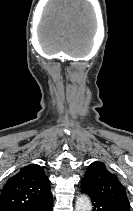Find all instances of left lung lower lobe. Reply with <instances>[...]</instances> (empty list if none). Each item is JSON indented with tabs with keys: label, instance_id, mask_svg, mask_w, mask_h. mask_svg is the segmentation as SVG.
<instances>
[{
	"label": "left lung lower lobe",
	"instance_id": "0a47b994",
	"mask_svg": "<svg viewBox=\"0 0 133 211\" xmlns=\"http://www.w3.org/2000/svg\"><path fill=\"white\" fill-rule=\"evenodd\" d=\"M82 193L87 192L81 190ZM91 198L93 211H130L128 206L113 202L111 200L102 199L88 194Z\"/></svg>",
	"mask_w": 133,
	"mask_h": 211
}]
</instances>
